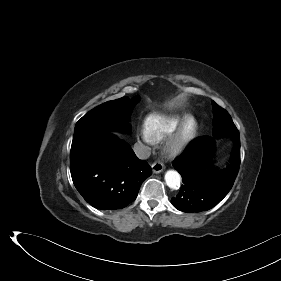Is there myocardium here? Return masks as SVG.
<instances>
[{
    "instance_id": "myocardium-1",
    "label": "myocardium",
    "mask_w": 281,
    "mask_h": 281,
    "mask_svg": "<svg viewBox=\"0 0 281 281\" xmlns=\"http://www.w3.org/2000/svg\"><path fill=\"white\" fill-rule=\"evenodd\" d=\"M199 123L194 116H187L169 136L165 150L171 157L183 153L197 138Z\"/></svg>"
}]
</instances>
